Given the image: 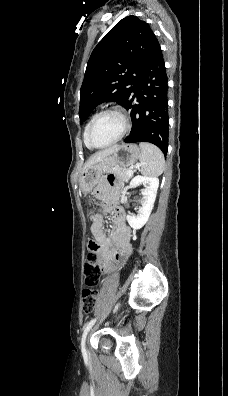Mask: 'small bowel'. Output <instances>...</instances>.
I'll list each match as a JSON object with an SVG mask.
<instances>
[{"mask_svg": "<svg viewBox=\"0 0 228 396\" xmlns=\"http://www.w3.org/2000/svg\"><path fill=\"white\" fill-rule=\"evenodd\" d=\"M119 186L115 177H109L103 184L99 185L95 189L96 196L105 201L109 202L111 199V193L113 191H118ZM116 219L121 218L124 221V212L120 208H116L115 210ZM94 232L96 234V240L98 242L97 254L101 259V267L104 271H106L110 265V263L114 260H119L120 258L130 254L131 245H130V230H125L123 235H120L118 232V227L112 236V238L106 237L98 223L94 226ZM113 243L115 247H113Z\"/></svg>", "mask_w": 228, "mask_h": 396, "instance_id": "small-bowel-1", "label": "small bowel"}]
</instances>
